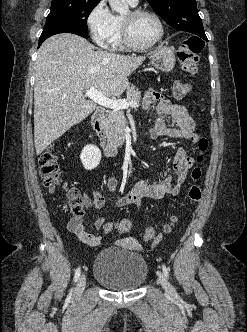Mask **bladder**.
Listing matches in <instances>:
<instances>
[{"label":"bladder","instance_id":"obj_1","mask_svg":"<svg viewBox=\"0 0 247 332\" xmlns=\"http://www.w3.org/2000/svg\"><path fill=\"white\" fill-rule=\"evenodd\" d=\"M148 274L143 256L133 249L116 245L98 253L94 261L95 280L113 291H132L140 288Z\"/></svg>","mask_w":247,"mask_h":332}]
</instances>
